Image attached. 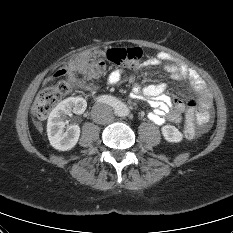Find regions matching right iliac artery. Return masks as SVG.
Listing matches in <instances>:
<instances>
[{
	"instance_id": "1",
	"label": "right iliac artery",
	"mask_w": 233,
	"mask_h": 233,
	"mask_svg": "<svg viewBox=\"0 0 233 233\" xmlns=\"http://www.w3.org/2000/svg\"><path fill=\"white\" fill-rule=\"evenodd\" d=\"M96 103H104L116 108L118 105V101L116 98L109 95H101L96 98Z\"/></svg>"
}]
</instances>
